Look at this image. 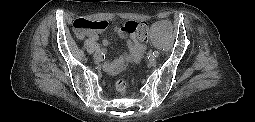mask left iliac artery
<instances>
[{
	"mask_svg": "<svg viewBox=\"0 0 255 122\" xmlns=\"http://www.w3.org/2000/svg\"><path fill=\"white\" fill-rule=\"evenodd\" d=\"M152 55H153L154 57H158V56H159V52H158V51H153Z\"/></svg>",
	"mask_w": 255,
	"mask_h": 122,
	"instance_id": "obj_1",
	"label": "left iliac artery"
}]
</instances>
